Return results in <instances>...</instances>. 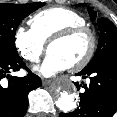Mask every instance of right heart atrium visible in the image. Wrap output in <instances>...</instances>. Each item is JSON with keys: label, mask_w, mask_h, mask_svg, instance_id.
<instances>
[{"label": "right heart atrium", "mask_w": 117, "mask_h": 117, "mask_svg": "<svg viewBox=\"0 0 117 117\" xmlns=\"http://www.w3.org/2000/svg\"><path fill=\"white\" fill-rule=\"evenodd\" d=\"M14 45L20 56L30 63H36L45 51V43L32 29L20 26L14 33Z\"/></svg>", "instance_id": "right-heart-atrium-1"}]
</instances>
